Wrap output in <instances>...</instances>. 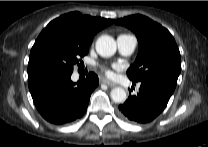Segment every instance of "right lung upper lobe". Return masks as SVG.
Listing matches in <instances>:
<instances>
[{
  "label": "right lung upper lobe",
  "mask_w": 208,
  "mask_h": 147,
  "mask_svg": "<svg viewBox=\"0 0 208 147\" xmlns=\"http://www.w3.org/2000/svg\"><path fill=\"white\" fill-rule=\"evenodd\" d=\"M113 22L112 19L82 15L79 12H71L54 19L43 29L31 49L28 77L34 74L31 70L32 55L42 43L54 38H68L89 46L93 36Z\"/></svg>",
  "instance_id": "cb5924a9"
}]
</instances>
